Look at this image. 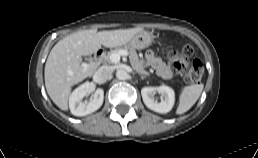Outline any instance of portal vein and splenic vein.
I'll return each instance as SVG.
<instances>
[{"label":"portal vein and splenic vein","mask_w":258,"mask_h":158,"mask_svg":"<svg viewBox=\"0 0 258 158\" xmlns=\"http://www.w3.org/2000/svg\"><path fill=\"white\" fill-rule=\"evenodd\" d=\"M128 52L125 50H120L119 52L113 53L110 55V60L112 63H118L120 61L121 56H127ZM84 67H87L86 64H84Z\"/></svg>","instance_id":"portal-vein-and-splenic-vein-1"}]
</instances>
